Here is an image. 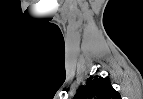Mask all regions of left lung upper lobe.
<instances>
[{
  "label": "left lung upper lobe",
  "instance_id": "5c2ea615",
  "mask_svg": "<svg viewBox=\"0 0 143 99\" xmlns=\"http://www.w3.org/2000/svg\"><path fill=\"white\" fill-rule=\"evenodd\" d=\"M74 99H121V96L108 78L95 76L87 79L86 85L78 89Z\"/></svg>",
  "mask_w": 143,
  "mask_h": 99
}]
</instances>
